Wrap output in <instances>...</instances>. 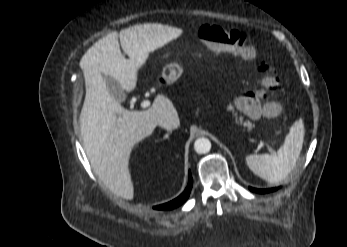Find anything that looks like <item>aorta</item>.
Wrapping results in <instances>:
<instances>
[{"label":"aorta","instance_id":"1","mask_svg":"<svg viewBox=\"0 0 347 247\" xmlns=\"http://www.w3.org/2000/svg\"><path fill=\"white\" fill-rule=\"evenodd\" d=\"M211 149V142L207 138H198L194 143V150L198 154H206Z\"/></svg>","mask_w":347,"mask_h":247}]
</instances>
